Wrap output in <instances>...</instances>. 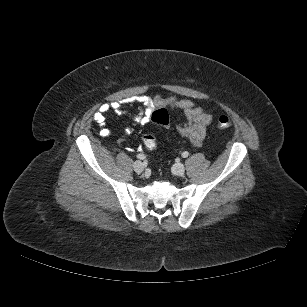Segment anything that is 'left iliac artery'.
Wrapping results in <instances>:
<instances>
[{"label":"left iliac artery","mask_w":307,"mask_h":307,"mask_svg":"<svg viewBox=\"0 0 307 307\" xmlns=\"http://www.w3.org/2000/svg\"><path fill=\"white\" fill-rule=\"evenodd\" d=\"M188 155H189V153H188L187 151H185V152L182 153V157H183V158L188 157Z\"/></svg>","instance_id":"obj_1"}]
</instances>
